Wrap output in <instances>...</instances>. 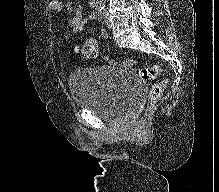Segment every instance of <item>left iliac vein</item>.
Segmentation results:
<instances>
[{
  "instance_id": "left-iliac-vein-1",
  "label": "left iliac vein",
  "mask_w": 219,
  "mask_h": 192,
  "mask_svg": "<svg viewBox=\"0 0 219 192\" xmlns=\"http://www.w3.org/2000/svg\"><path fill=\"white\" fill-rule=\"evenodd\" d=\"M101 18H102L103 24L107 28L111 29L112 28V23H111V21L108 18L107 12H104Z\"/></svg>"
}]
</instances>
